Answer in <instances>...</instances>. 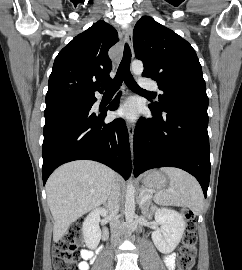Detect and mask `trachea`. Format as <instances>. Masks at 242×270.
Wrapping results in <instances>:
<instances>
[{"label":"trachea","instance_id":"3493384b","mask_svg":"<svg viewBox=\"0 0 242 270\" xmlns=\"http://www.w3.org/2000/svg\"><path fill=\"white\" fill-rule=\"evenodd\" d=\"M130 61L131 50L129 45L125 44L123 58L118 67L115 78L109 83L102 84V88L105 90V92H116L124 81L125 84L133 91L152 94L151 92L141 89L135 82L130 72Z\"/></svg>","mask_w":242,"mask_h":270}]
</instances>
